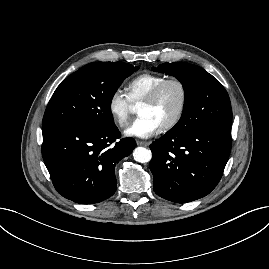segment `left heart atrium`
Instances as JSON below:
<instances>
[{"label": "left heart atrium", "mask_w": 269, "mask_h": 269, "mask_svg": "<svg viewBox=\"0 0 269 269\" xmlns=\"http://www.w3.org/2000/svg\"><path fill=\"white\" fill-rule=\"evenodd\" d=\"M161 129L159 123L150 116H140L124 131L129 137L149 138Z\"/></svg>", "instance_id": "1"}]
</instances>
